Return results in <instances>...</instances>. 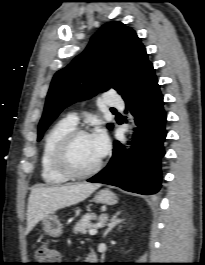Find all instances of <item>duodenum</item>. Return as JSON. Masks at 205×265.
Segmentation results:
<instances>
[{
    "instance_id": "1",
    "label": "duodenum",
    "mask_w": 205,
    "mask_h": 265,
    "mask_svg": "<svg viewBox=\"0 0 205 265\" xmlns=\"http://www.w3.org/2000/svg\"><path fill=\"white\" fill-rule=\"evenodd\" d=\"M88 261H89V262H93V261H95V256H94V254L90 253V254L88 255Z\"/></svg>"
}]
</instances>
